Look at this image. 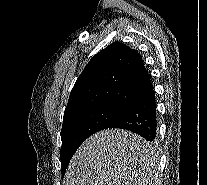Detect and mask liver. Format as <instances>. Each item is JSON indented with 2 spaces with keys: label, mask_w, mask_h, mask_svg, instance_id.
<instances>
[{
  "label": "liver",
  "mask_w": 207,
  "mask_h": 185,
  "mask_svg": "<svg viewBox=\"0 0 207 185\" xmlns=\"http://www.w3.org/2000/svg\"><path fill=\"white\" fill-rule=\"evenodd\" d=\"M143 137L105 129L86 139L73 155L63 185H147L157 163Z\"/></svg>",
  "instance_id": "liver-1"
}]
</instances>
